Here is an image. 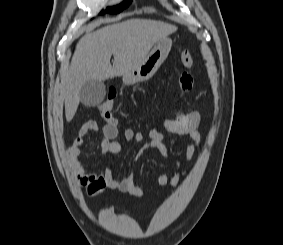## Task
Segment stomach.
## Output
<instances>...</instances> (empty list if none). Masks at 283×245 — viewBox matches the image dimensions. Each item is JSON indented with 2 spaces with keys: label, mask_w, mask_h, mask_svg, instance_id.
Listing matches in <instances>:
<instances>
[{
  "label": "stomach",
  "mask_w": 283,
  "mask_h": 245,
  "mask_svg": "<svg viewBox=\"0 0 283 245\" xmlns=\"http://www.w3.org/2000/svg\"><path fill=\"white\" fill-rule=\"evenodd\" d=\"M172 47V40L163 38L159 40L143 62L123 76V82L133 85L150 79L167 58Z\"/></svg>",
  "instance_id": "stomach-1"
}]
</instances>
